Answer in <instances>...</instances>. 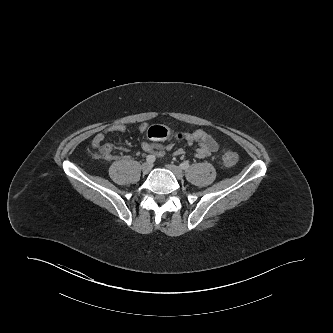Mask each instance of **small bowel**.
Returning a JSON list of instances; mask_svg holds the SVG:
<instances>
[{
  "label": "small bowel",
  "mask_w": 333,
  "mask_h": 333,
  "mask_svg": "<svg viewBox=\"0 0 333 333\" xmlns=\"http://www.w3.org/2000/svg\"><path fill=\"white\" fill-rule=\"evenodd\" d=\"M145 126H140V130H144ZM126 127L123 124H115L107 128L105 131L99 132L94 136L91 142V146L94 150L99 151L101 158L104 161L110 162L114 159V146L109 142H105L108 134L111 133H124ZM186 141L187 145H197L195 149V156L197 158H206L212 153H215L219 149L218 142L206 131L197 129L193 132H176ZM124 150V147H120ZM142 149L157 157H162L165 154H171L173 156H183L185 151L182 148H175L172 142H159V141H143Z\"/></svg>",
  "instance_id": "c3829d8e"
}]
</instances>
